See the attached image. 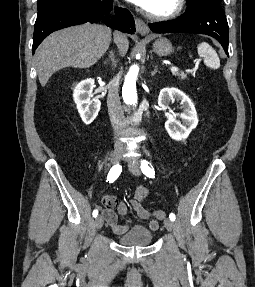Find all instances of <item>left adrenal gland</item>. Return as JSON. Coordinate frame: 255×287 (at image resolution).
Instances as JSON below:
<instances>
[{"mask_svg":"<svg viewBox=\"0 0 255 287\" xmlns=\"http://www.w3.org/2000/svg\"><path fill=\"white\" fill-rule=\"evenodd\" d=\"M156 72H158V66H155L151 76H155Z\"/></svg>","mask_w":255,"mask_h":287,"instance_id":"left-adrenal-gland-1","label":"left adrenal gland"}]
</instances>
